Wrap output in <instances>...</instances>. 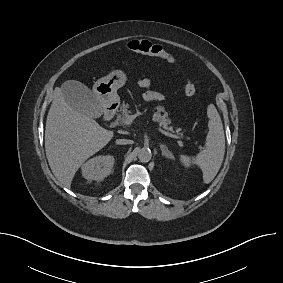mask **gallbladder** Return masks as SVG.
Segmentation results:
<instances>
[{"instance_id": "bac80fb5", "label": "gallbladder", "mask_w": 283, "mask_h": 283, "mask_svg": "<svg viewBox=\"0 0 283 283\" xmlns=\"http://www.w3.org/2000/svg\"><path fill=\"white\" fill-rule=\"evenodd\" d=\"M61 91L66 103L74 111L93 118L101 116L103 109L86 85L79 81L68 80L61 85Z\"/></svg>"}]
</instances>
